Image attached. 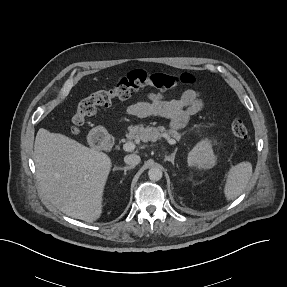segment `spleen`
Returning a JSON list of instances; mask_svg holds the SVG:
<instances>
[{"mask_svg":"<svg viewBox=\"0 0 287 287\" xmlns=\"http://www.w3.org/2000/svg\"><path fill=\"white\" fill-rule=\"evenodd\" d=\"M252 176V164L248 161L240 162L228 170L224 186L227 200L237 198L246 188Z\"/></svg>","mask_w":287,"mask_h":287,"instance_id":"3e777b00","label":"spleen"}]
</instances>
